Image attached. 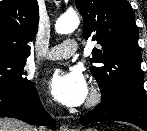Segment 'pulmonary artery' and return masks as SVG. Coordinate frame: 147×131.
Masks as SVG:
<instances>
[{
  "label": "pulmonary artery",
  "mask_w": 147,
  "mask_h": 131,
  "mask_svg": "<svg viewBox=\"0 0 147 131\" xmlns=\"http://www.w3.org/2000/svg\"><path fill=\"white\" fill-rule=\"evenodd\" d=\"M77 43L75 40H65L60 45L52 47L46 54L48 60L67 59L74 55L77 51Z\"/></svg>",
  "instance_id": "pulmonary-artery-1"
}]
</instances>
